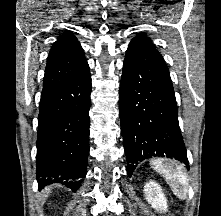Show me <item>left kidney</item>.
<instances>
[{
    "instance_id": "obj_1",
    "label": "left kidney",
    "mask_w": 221,
    "mask_h": 216,
    "mask_svg": "<svg viewBox=\"0 0 221 216\" xmlns=\"http://www.w3.org/2000/svg\"><path fill=\"white\" fill-rule=\"evenodd\" d=\"M144 193L146 200L154 209L160 212L167 211V199L162 191V188L155 181L151 180L145 184Z\"/></svg>"
}]
</instances>
